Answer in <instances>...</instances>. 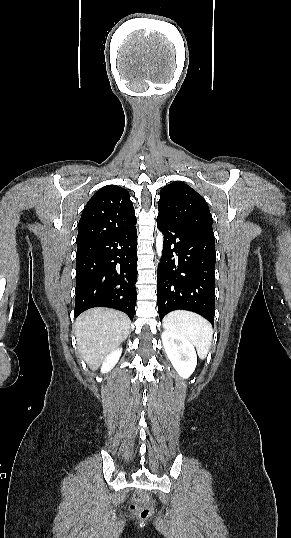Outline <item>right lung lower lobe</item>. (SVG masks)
Wrapping results in <instances>:
<instances>
[{
    "instance_id": "98d812e1",
    "label": "right lung lower lobe",
    "mask_w": 291,
    "mask_h": 538,
    "mask_svg": "<svg viewBox=\"0 0 291 538\" xmlns=\"http://www.w3.org/2000/svg\"><path fill=\"white\" fill-rule=\"evenodd\" d=\"M135 225L101 240L78 246L74 315L109 307L134 317L137 281Z\"/></svg>"
}]
</instances>
